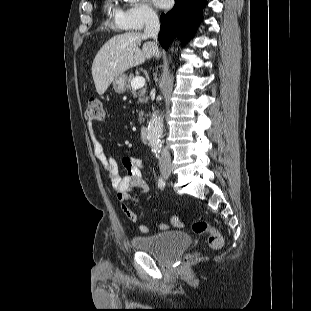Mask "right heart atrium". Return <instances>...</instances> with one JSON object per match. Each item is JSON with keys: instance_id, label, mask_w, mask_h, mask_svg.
<instances>
[{"instance_id": "right-heart-atrium-1", "label": "right heart atrium", "mask_w": 311, "mask_h": 311, "mask_svg": "<svg viewBox=\"0 0 311 311\" xmlns=\"http://www.w3.org/2000/svg\"><path fill=\"white\" fill-rule=\"evenodd\" d=\"M157 19L155 9L140 0L129 3L119 13V21L123 29L130 31L142 30L145 26L155 23Z\"/></svg>"}]
</instances>
